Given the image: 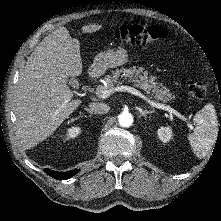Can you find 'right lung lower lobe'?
Returning <instances> with one entry per match:
<instances>
[{"instance_id": "obj_1", "label": "right lung lower lobe", "mask_w": 221, "mask_h": 221, "mask_svg": "<svg viewBox=\"0 0 221 221\" xmlns=\"http://www.w3.org/2000/svg\"><path fill=\"white\" fill-rule=\"evenodd\" d=\"M79 170H71L68 172H57L50 169H45L44 172L47 173L49 176L58 179V180H64L68 179L72 176H74Z\"/></svg>"}]
</instances>
